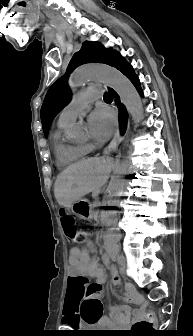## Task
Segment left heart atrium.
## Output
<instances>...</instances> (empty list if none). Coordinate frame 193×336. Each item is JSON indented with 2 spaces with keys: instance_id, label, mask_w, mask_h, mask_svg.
Masks as SVG:
<instances>
[{
  "instance_id": "39dd6f15",
  "label": "left heart atrium",
  "mask_w": 193,
  "mask_h": 336,
  "mask_svg": "<svg viewBox=\"0 0 193 336\" xmlns=\"http://www.w3.org/2000/svg\"><path fill=\"white\" fill-rule=\"evenodd\" d=\"M88 129L96 141H106L114 131L116 121L113 114L105 108L94 110L88 117Z\"/></svg>"
}]
</instances>
